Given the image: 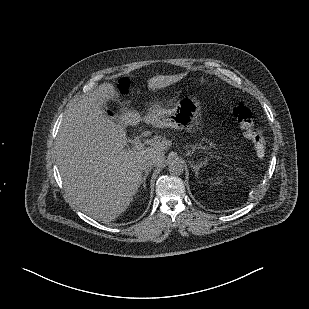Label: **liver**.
I'll list each match as a JSON object with an SVG mask.
<instances>
[{"mask_svg":"<svg viewBox=\"0 0 309 309\" xmlns=\"http://www.w3.org/2000/svg\"><path fill=\"white\" fill-rule=\"evenodd\" d=\"M117 95L113 84L105 83L75 103L64 114L56 144L68 196L83 213L102 222L116 219L128 208L142 183L144 163L162 164L171 145L154 139L144 149L125 150V127L144 121L163 128V112L154 107L141 118L137 111H125L116 124L105 114L103 104Z\"/></svg>","mask_w":309,"mask_h":309,"instance_id":"obj_1","label":"liver"}]
</instances>
